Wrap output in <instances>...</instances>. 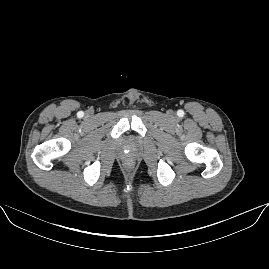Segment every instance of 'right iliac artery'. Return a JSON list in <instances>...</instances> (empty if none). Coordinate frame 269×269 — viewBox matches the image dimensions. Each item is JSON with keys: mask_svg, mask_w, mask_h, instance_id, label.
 <instances>
[{"mask_svg": "<svg viewBox=\"0 0 269 269\" xmlns=\"http://www.w3.org/2000/svg\"><path fill=\"white\" fill-rule=\"evenodd\" d=\"M84 113L82 111L78 112L79 117H83Z\"/></svg>", "mask_w": 269, "mask_h": 269, "instance_id": "82829eb1", "label": "right iliac artery"}]
</instances>
